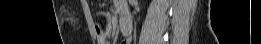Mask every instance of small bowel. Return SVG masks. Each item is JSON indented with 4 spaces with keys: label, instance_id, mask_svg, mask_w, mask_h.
Segmentation results:
<instances>
[{
    "label": "small bowel",
    "instance_id": "c3829d8e",
    "mask_svg": "<svg viewBox=\"0 0 261 44\" xmlns=\"http://www.w3.org/2000/svg\"><path fill=\"white\" fill-rule=\"evenodd\" d=\"M126 6H127L126 2H120V3H119V6H118L120 12H121V11H124V12L127 14V13H128V10H127ZM122 43H123V44H127L128 41H127V40H123Z\"/></svg>",
    "mask_w": 261,
    "mask_h": 44
}]
</instances>
